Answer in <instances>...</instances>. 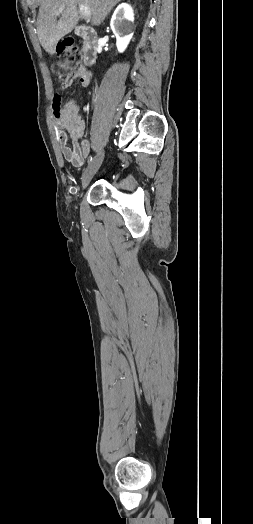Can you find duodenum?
Segmentation results:
<instances>
[{"label": "duodenum", "instance_id": "duodenum-1", "mask_svg": "<svg viewBox=\"0 0 253 524\" xmlns=\"http://www.w3.org/2000/svg\"><path fill=\"white\" fill-rule=\"evenodd\" d=\"M77 35L83 39V62L87 66L95 63L98 53V35L88 26H81L76 31Z\"/></svg>", "mask_w": 253, "mask_h": 524}]
</instances>
